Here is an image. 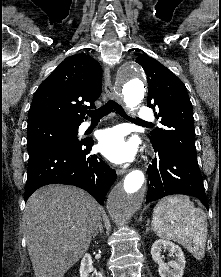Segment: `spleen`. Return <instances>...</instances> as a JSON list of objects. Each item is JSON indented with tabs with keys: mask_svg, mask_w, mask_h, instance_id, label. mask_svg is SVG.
<instances>
[{
	"mask_svg": "<svg viewBox=\"0 0 221 277\" xmlns=\"http://www.w3.org/2000/svg\"><path fill=\"white\" fill-rule=\"evenodd\" d=\"M152 228L157 236L181 244L197 260L204 257L206 214L187 196L174 195L160 200L153 210Z\"/></svg>",
	"mask_w": 221,
	"mask_h": 277,
	"instance_id": "1",
	"label": "spleen"
}]
</instances>
